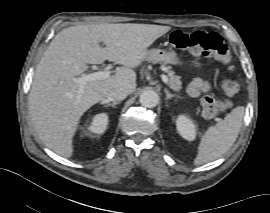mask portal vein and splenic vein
I'll list each match as a JSON object with an SVG mask.
<instances>
[{
    "label": "portal vein and splenic vein",
    "mask_w": 270,
    "mask_h": 213,
    "mask_svg": "<svg viewBox=\"0 0 270 213\" xmlns=\"http://www.w3.org/2000/svg\"><path fill=\"white\" fill-rule=\"evenodd\" d=\"M108 77H110V71L103 70V71H98V72L82 75L80 77L74 78L73 81L79 85L78 94L81 95L83 92L84 86L88 82L97 81V80H104V79H107ZM161 78L165 84H169V81H168V78L166 75L162 74Z\"/></svg>",
    "instance_id": "obj_1"
}]
</instances>
